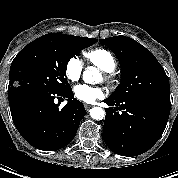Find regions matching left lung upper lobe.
<instances>
[{
    "label": "left lung upper lobe",
    "instance_id": "left-lung-upper-lobe-1",
    "mask_svg": "<svg viewBox=\"0 0 178 178\" xmlns=\"http://www.w3.org/2000/svg\"><path fill=\"white\" fill-rule=\"evenodd\" d=\"M118 58L121 81L108 97L121 102L142 97L171 107L169 79L155 56L137 41L124 36L101 39Z\"/></svg>",
    "mask_w": 178,
    "mask_h": 178
}]
</instances>
